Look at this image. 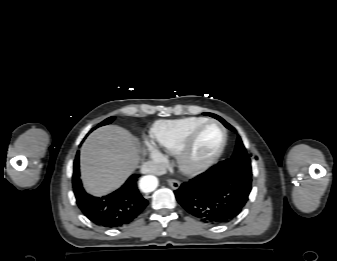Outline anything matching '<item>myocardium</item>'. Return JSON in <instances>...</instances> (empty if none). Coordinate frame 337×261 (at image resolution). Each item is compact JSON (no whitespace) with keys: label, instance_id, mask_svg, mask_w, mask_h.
I'll return each mask as SVG.
<instances>
[{"label":"myocardium","instance_id":"obj_1","mask_svg":"<svg viewBox=\"0 0 337 261\" xmlns=\"http://www.w3.org/2000/svg\"><path fill=\"white\" fill-rule=\"evenodd\" d=\"M209 125H216L222 133V140L217 150L208 158L201 162H192L190 160L191 150L199 133ZM227 145V131L225 127L217 120L209 119L196 126L186 137L183 145L176 153V160L179 169L187 175H198L208 170L223 154Z\"/></svg>","mask_w":337,"mask_h":261}]
</instances>
